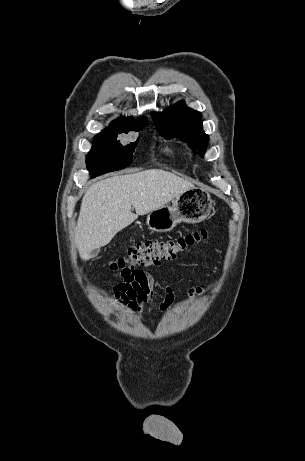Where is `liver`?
I'll return each instance as SVG.
<instances>
[{"label":"liver","instance_id":"obj_1","mask_svg":"<svg viewBox=\"0 0 305 461\" xmlns=\"http://www.w3.org/2000/svg\"><path fill=\"white\" fill-rule=\"evenodd\" d=\"M192 188L191 182L162 169L113 176L93 184L82 199L75 229L81 259L87 261L93 250L109 244L139 215L165 206Z\"/></svg>","mask_w":305,"mask_h":461}]
</instances>
